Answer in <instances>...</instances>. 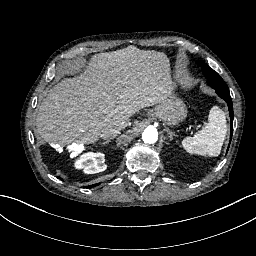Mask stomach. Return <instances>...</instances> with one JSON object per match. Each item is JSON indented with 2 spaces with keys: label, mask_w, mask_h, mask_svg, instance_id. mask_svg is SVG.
Instances as JSON below:
<instances>
[{
  "label": "stomach",
  "mask_w": 256,
  "mask_h": 256,
  "mask_svg": "<svg viewBox=\"0 0 256 256\" xmlns=\"http://www.w3.org/2000/svg\"><path fill=\"white\" fill-rule=\"evenodd\" d=\"M166 94L167 96L150 111L149 115L167 125H177L187 117L186 104L176 95L174 89H167Z\"/></svg>",
  "instance_id": "stomach-1"
}]
</instances>
